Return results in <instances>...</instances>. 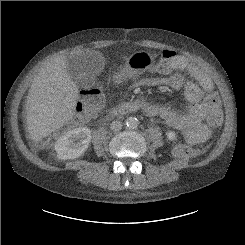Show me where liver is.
<instances>
[{
    "label": "liver",
    "instance_id": "6515ba94",
    "mask_svg": "<svg viewBox=\"0 0 245 245\" xmlns=\"http://www.w3.org/2000/svg\"><path fill=\"white\" fill-rule=\"evenodd\" d=\"M80 53L71 52L70 56ZM67 59V56L54 58L31 84L26 100V124L34 141L60 129L74 116L78 88L69 74Z\"/></svg>",
    "mask_w": 245,
    "mask_h": 245
}]
</instances>
